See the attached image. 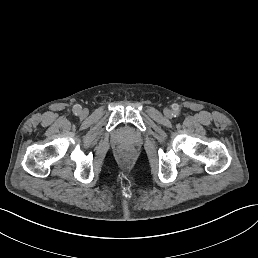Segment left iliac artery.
Returning <instances> with one entry per match:
<instances>
[{
  "instance_id": "left-iliac-artery-1",
  "label": "left iliac artery",
  "mask_w": 258,
  "mask_h": 258,
  "mask_svg": "<svg viewBox=\"0 0 258 258\" xmlns=\"http://www.w3.org/2000/svg\"><path fill=\"white\" fill-rule=\"evenodd\" d=\"M174 117H178L180 115V112L179 111H174L173 114H172Z\"/></svg>"
}]
</instances>
